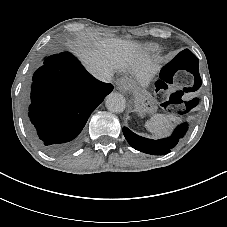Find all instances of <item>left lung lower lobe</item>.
Returning a JSON list of instances; mask_svg holds the SVG:
<instances>
[{
	"instance_id": "obj_1",
	"label": "left lung lower lobe",
	"mask_w": 227,
	"mask_h": 227,
	"mask_svg": "<svg viewBox=\"0 0 227 227\" xmlns=\"http://www.w3.org/2000/svg\"><path fill=\"white\" fill-rule=\"evenodd\" d=\"M187 128L188 124L183 123L174 130L170 137L160 140L140 137L126 127L123 128V134L134 149L151 155H165L168 154L178 143L179 139L184 136Z\"/></svg>"
}]
</instances>
